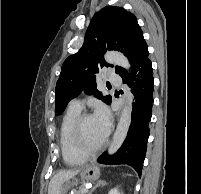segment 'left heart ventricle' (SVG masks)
<instances>
[{
  "label": "left heart ventricle",
  "mask_w": 201,
  "mask_h": 194,
  "mask_svg": "<svg viewBox=\"0 0 201 194\" xmlns=\"http://www.w3.org/2000/svg\"><path fill=\"white\" fill-rule=\"evenodd\" d=\"M82 132L84 142L89 148L96 147L104 140L92 117L84 121Z\"/></svg>",
  "instance_id": "obj_1"
}]
</instances>
